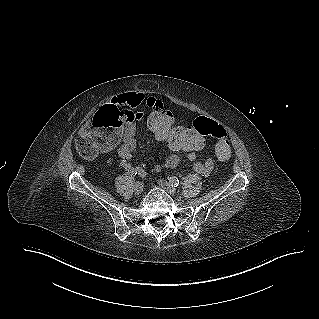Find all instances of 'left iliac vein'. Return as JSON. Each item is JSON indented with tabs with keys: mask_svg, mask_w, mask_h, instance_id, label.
I'll return each instance as SVG.
<instances>
[{
	"mask_svg": "<svg viewBox=\"0 0 319 319\" xmlns=\"http://www.w3.org/2000/svg\"><path fill=\"white\" fill-rule=\"evenodd\" d=\"M159 185L166 191L168 192L170 195H175L176 194V189L171 186V184L164 180V179H160L159 180Z\"/></svg>",
	"mask_w": 319,
	"mask_h": 319,
	"instance_id": "obj_1",
	"label": "left iliac vein"
}]
</instances>
